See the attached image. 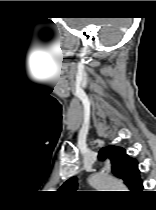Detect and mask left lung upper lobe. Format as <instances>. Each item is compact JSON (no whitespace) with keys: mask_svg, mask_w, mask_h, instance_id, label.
<instances>
[{"mask_svg":"<svg viewBox=\"0 0 156 210\" xmlns=\"http://www.w3.org/2000/svg\"><path fill=\"white\" fill-rule=\"evenodd\" d=\"M99 159L109 158L112 163L113 174L122 179L132 191L142 190L143 184L140 178L138 162L129 157L124 148L110 145L104 147L99 152ZM77 189V179L72 177L68 179L60 188L61 191H75Z\"/></svg>","mask_w":156,"mask_h":210,"instance_id":"obj_1","label":"left lung upper lobe"}]
</instances>
